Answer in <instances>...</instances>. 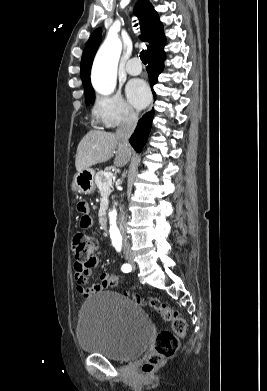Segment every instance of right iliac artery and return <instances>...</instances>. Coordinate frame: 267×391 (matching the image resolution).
<instances>
[{"label":"right iliac artery","instance_id":"right-iliac-artery-1","mask_svg":"<svg viewBox=\"0 0 267 391\" xmlns=\"http://www.w3.org/2000/svg\"><path fill=\"white\" fill-rule=\"evenodd\" d=\"M122 271L127 273V272H130L131 271V266L129 264H124L122 266Z\"/></svg>","mask_w":267,"mask_h":391}]
</instances>
